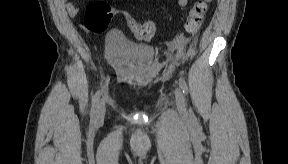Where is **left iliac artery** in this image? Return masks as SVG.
Masks as SVG:
<instances>
[{"mask_svg": "<svg viewBox=\"0 0 288 164\" xmlns=\"http://www.w3.org/2000/svg\"><path fill=\"white\" fill-rule=\"evenodd\" d=\"M179 86L182 89L183 93L185 95H187L188 94V86H187L186 81L183 78H179ZM190 117L192 120L195 119V115L191 109H190Z\"/></svg>", "mask_w": 288, "mask_h": 164, "instance_id": "44dca946", "label": "left iliac artery"}]
</instances>
